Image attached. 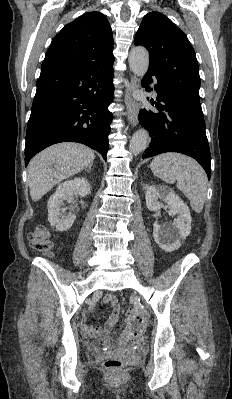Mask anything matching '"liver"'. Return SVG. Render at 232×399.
Segmentation results:
<instances>
[{"instance_id": "obj_1", "label": "liver", "mask_w": 232, "mask_h": 399, "mask_svg": "<svg viewBox=\"0 0 232 399\" xmlns=\"http://www.w3.org/2000/svg\"><path fill=\"white\" fill-rule=\"evenodd\" d=\"M93 150L81 144H56L46 148L28 166V186L33 201H38L56 184L75 176L92 164Z\"/></svg>"}]
</instances>
